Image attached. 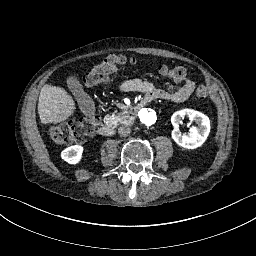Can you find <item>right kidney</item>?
I'll return each instance as SVG.
<instances>
[{"instance_id": "obj_1", "label": "right kidney", "mask_w": 256, "mask_h": 256, "mask_svg": "<svg viewBox=\"0 0 256 256\" xmlns=\"http://www.w3.org/2000/svg\"><path fill=\"white\" fill-rule=\"evenodd\" d=\"M84 147L72 145L61 152V158L70 165H77L82 161Z\"/></svg>"}]
</instances>
